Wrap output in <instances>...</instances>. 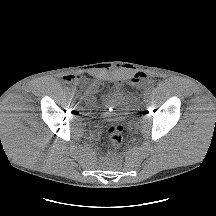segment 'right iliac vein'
Segmentation results:
<instances>
[{
  "instance_id": "63e3f726",
  "label": "right iliac vein",
  "mask_w": 216,
  "mask_h": 216,
  "mask_svg": "<svg viewBox=\"0 0 216 216\" xmlns=\"http://www.w3.org/2000/svg\"><path fill=\"white\" fill-rule=\"evenodd\" d=\"M74 96H79V91L75 90L74 93H72Z\"/></svg>"
}]
</instances>
